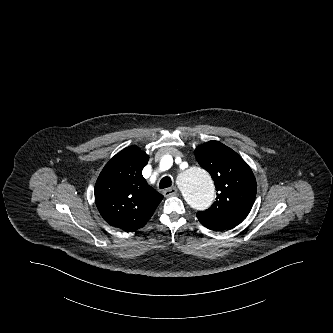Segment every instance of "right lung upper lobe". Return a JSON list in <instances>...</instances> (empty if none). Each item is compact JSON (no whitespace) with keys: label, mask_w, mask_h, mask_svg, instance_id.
<instances>
[{"label":"right lung upper lobe","mask_w":333,"mask_h":333,"mask_svg":"<svg viewBox=\"0 0 333 333\" xmlns=\"http://www.w3.org/2000/svg\"><path fill=\"white\" fill-rule=\"evenodd\" d=\"M149 156L136 146L116 154L95 185V203L106 222L131 232L143 227L163 199L142 176Z\"/></svg>","instance_id":"right-lung-upper-lobe-1"}]
</instances>
